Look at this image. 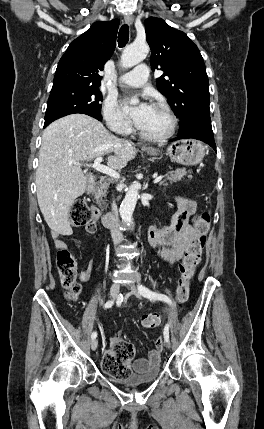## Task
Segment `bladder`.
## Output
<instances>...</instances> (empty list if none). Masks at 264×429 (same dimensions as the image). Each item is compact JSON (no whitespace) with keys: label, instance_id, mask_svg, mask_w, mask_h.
<instances>
[{"label":"bladder","instance_id":"obj_1","mask_svg":"<svg viewBox=\"0 0 264 429\" xmlns=\"http://www.w3.org/2000/svg\"><path fill=\"white\" fill-rule=\"evenodd\" d=\"M160 366L156 365L150 367L143 373H131L125 377H116L108 374L109 379L121 386L125 387H137L154 382L160 375Z\"/></svg>","mask_w":264,"mask_h":429}]
</instances>
